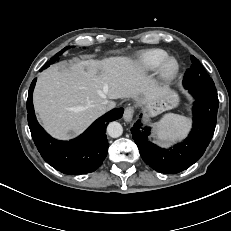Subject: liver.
Wrapping results in <instances>:
<instances>
[{
  "instance_id": "6515ba94",
  "label": "liver",
  "mask_w": 231,
  "mask_h": 231,
  "mask_svg": "<svg viewBox=\"0 0 231 231\" xmlns=\"http://www.w3.org/2000/svg\"><path fill=\"white\" fill-rule=\"evenodd\" d=\"M128 57L60 63L43 71L33 102L43 127L55 138L82 132L103 114L104 100L133 98L148 104L166 94ZM114 106V103H111Z\"/></svg>"
}]
</instances>
